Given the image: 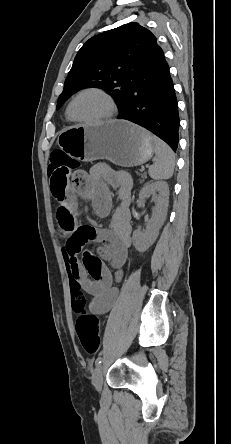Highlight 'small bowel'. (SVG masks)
I'll return each instance as SVG.
<instances>
[{"mask_svg":"<svg viewBox=\"0 0 231 444\" xmlns=\"http://www.w3.org/2000/svg\"><path fill=\"white\" fill-rule=\"evenodd\" d=\"M118 190L120 203L107 229L80 235L77 227V199H89L96 214L105 217L111 209L112 196L108 186ZM51 189L59 202L56 223L64 239L63 256L70 286L78 284L88 297L89 310L95 315L107 313L116 301L115 285L123 277V269L131 246L129 205L132 181L124 173L106 165H95L89 173L77 172L72 179ZM92 243L100 244L99 256L86 250Z\"/></svg>","mask_w":231,"mask_h":444,"instance_id":"1","label":"small bowel"}]
</instances>
